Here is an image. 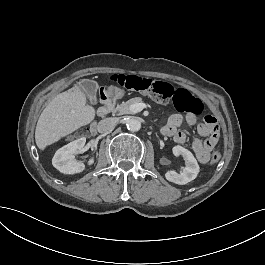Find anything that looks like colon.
I'll return each instance as SVG.
<instances>
[{"label": "colon", "instance_id": "colon-1", "mask_svg": "<svg viewBox=\"0 0 265 265\" xmlns=\"http://www.w3.org/2000/svg\"><path fill=\"white\" fill-rule=\"evenodd\" d=\"M111 81L130 91L150 96L161 103H171L179 113L200 115L203 112L201 99L187 89L175 87L166 81L126 74L112 75ZM219 160L220 153H213L211 162L217 163Z\"/></svg>", "mask_w": 265, "mask_h": 265}]
</instances>
